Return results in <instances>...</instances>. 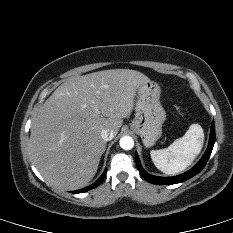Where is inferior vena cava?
<instances>
[{"instance_id": "1", "label": "inferior vena cava", "mask_w": 233, "mask_h": 233, "mask_svg": "<svg viewBox=\"0 0 233 233\" xmlns=\"http://www.w3.org/2000/svg\"><path fill=\"white\" fill-rule=\"evenodd\" d=\"M101 137L105 140V141H110L113 139L114 135L113 132L110 129H103L101 131Z\"/></svg>"}]
</instances>
